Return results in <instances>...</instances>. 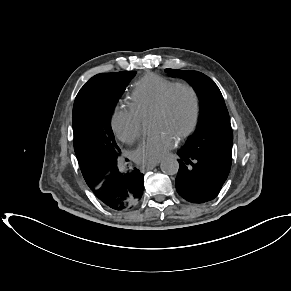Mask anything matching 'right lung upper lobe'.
<instances>
[{
	"instance_id": "obj_1",
	"label": "right lung upper lobe",
	"mask_w": 291,
	"mask_h": 291,
	"mask_svg": "<svg viewBox=\"0 0 291 291\" xmlns=\"http://www.w3.org/2000/svg\"><path fill=\"white\" fill-rule=\"evenodd\" d=\"M85 181L91 190H95L99 187V184L95 182L89 175H86Z\"/></svg>"
}]
</instances>
